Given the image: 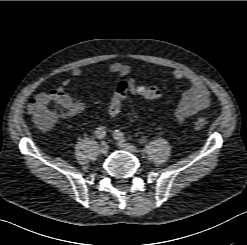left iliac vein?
I'll return each instance as SVG.
<instances>
[{"instance_id": "left-iliac-vein-1", "label": "left iliac vein", "mask_w": 247, "mask_h": 245, "mask_svg": "<svg viewBox=\"0 0 247 245\" xmlns=\"http://www.w3.org/2000/svg\"><path fill=\"white\" fill-rule=\"evenodd\" d=\"M117 144H118L119 148H121L123 150H126L128 152H131V153L138 152V149H137L136 146H134L132 144H129V143L125 142V141L119 140Z\"/></svg>"}]
</instances>
